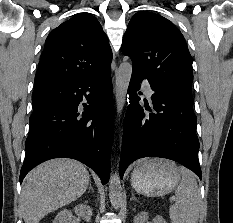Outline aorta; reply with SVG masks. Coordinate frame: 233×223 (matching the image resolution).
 <instances>
[{
    "label": "aorta",
    "instance_id": "obj_1",
    "mask_svg": "<svg viewBox=\"0 0 233 223\" xmlns=\"http://www.w3.org/2000/svg\"><path fill=\"white\" fill-rule=\"evenodd\" d=\"M131 74L132 66L131 64H127V62L121 64L117 70L115 94L118 112L123 110ZM122 195L123 191L119 173L115 171V173H111L109 181V197L113 207H119Z\"/></svg>",
    "mask_w": 233,
    "mask_h": 223
}]
</instances>
